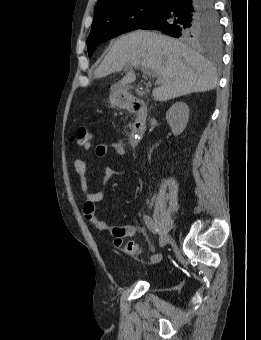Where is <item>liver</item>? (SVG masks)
Masks as SVG:
<instances>
[{"instance_id": "1", "label": "liver", "mask_w": 261, "mask_h": 340, "mask_svg": "<svg viewBox=\"0 0 261 340\" xmlns=\"http://www.w3.org/2000/svg\"><path fill=\"white\" fill-rule=\"evenodd\" d=\"M146 66L159 78L153 89L156 101L205 92L217 86L214 66L181 41L150 31H134L118 38L94 73L95 78L125 70L126 75L114 85L124 89L135 81L133 67Z\"/></svg>"}]
</instances>
